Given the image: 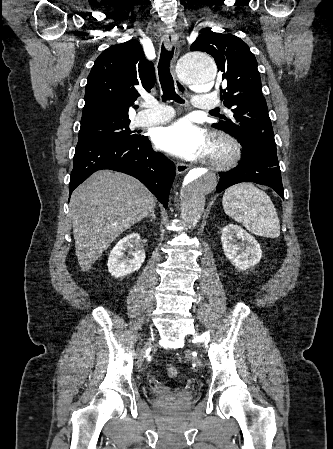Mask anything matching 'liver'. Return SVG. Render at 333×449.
<instances>
[{
	"instance_id": "6515ba94",
	"label": "liver",
	"mask_w": 333,
	"mask_h": 449,
	"mask_svg": "<svg viewBox=\"0 0 333 449\" xmlns=\"http://www.w3.org/2000/svg\"><path fill=\"white\" fill-rule=\"evenodd\" d=\"M155 201L140 181L109 170L93 173L78 186L69 207L81 269L88 271L120 234L149 216Z\"/></svg>"
}]
</instances>
